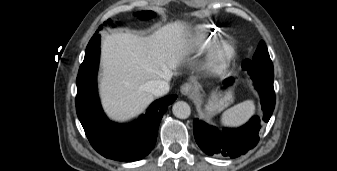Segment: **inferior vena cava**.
Listing matches in <instances>:
<instances>
[{"mask_svg":"<svg viewBox=\"0 0 337 171\" xmlns=\"http://www.w3.org/2000/svg\"><path fill=\"white\" fill-rule=\"evenodd\" d=\"M150 92L155 96H162L169 92L170 85L167 80L150 81L147 84Z\"/></svg>","mask_w":337,"mask_h":171,"instance_id":"inferior-vena-cava-1","label":"inferior vena cava"}]
</instances>
